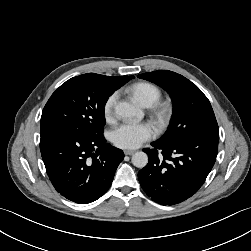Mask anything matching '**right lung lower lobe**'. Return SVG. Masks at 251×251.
<instances>
[{"instance_id": "obj_1", "label": "right lung lower lobe", "mask_w": 251, "mask_h": 251, "mask_svg": "<svg viewBox=\"0 0 251 251\" xmlns=\"http://www.w3.org/2000/svg\"><path fill=\"white\" fill-rule=\"evenodd\" d=\"M40 150L56 191L79 204L93 202L109 189L124 158L123 151L106 143L103 135L62 127L41 131Z\"/></svg>"}]
</instances>
